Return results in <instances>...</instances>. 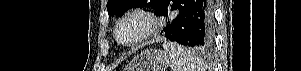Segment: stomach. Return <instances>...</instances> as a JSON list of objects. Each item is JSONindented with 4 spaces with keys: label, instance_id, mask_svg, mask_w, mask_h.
<instances>
[{
    "label": "stomach",
    "instance_id": "1",
    "mask_svg": "<svg viewBox=\"0 0 301 71\" xmlns=\"http://www.w3.org/2000/svg\"><path fill=\"white\" fill-rule=\"evenodd\" d=\"M168 55L156 49H147L136 56L125 71H166L169 67Z\"/></svg>",
    "mask_w": 301,
    "mask_h": 71
}]
</instances>
